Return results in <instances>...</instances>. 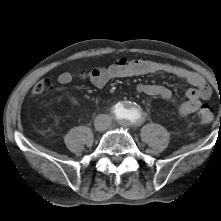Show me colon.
Masks as SVG:
<instances>
[{
    "label": "colon",
    "mask_w": 221,
    "mask_h": 221,
    "mask_svg": "<svg viewBox=\"0 0 221 221\" xmlns=\"http://www.w3.org/2000/svg\"><path fill=\"white\" fill-rule=\"evenodd\" d=\"M53 82L50 78L41 79L33 88L32 93L34 96H40L52 89ZM198 120L201 124L207 125L214 120V110L210 106H202L198 110Z\"/></svg>",
    "instance_id": "1"
}]
</instances>
